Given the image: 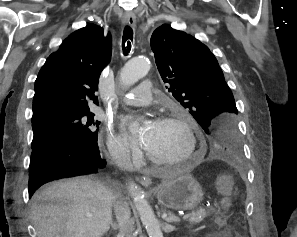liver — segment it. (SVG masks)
<instances>
[{"instance_id": "liver-1", "label": "liver", "mask_w": 297, "mask_h": 237, "mask_svg": "<svg viewBox=\"0 0 297 237\" xmlns=\"http://www.w3.org/2000/svg\"><path fill=\"white\" fill-rule=\"evenodd\" d=\"M117 195L86 177L52 182L32 197L37 237H101L112 224Z\"/></svg>"}]
</instances>
